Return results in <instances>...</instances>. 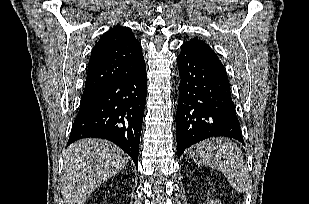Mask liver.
Returning <instances> with one entry per match:
<instances>
[{
  "instance_id": "1",
  "label": "liver",
  "mask_w": 309,
  "mask_h": 204,
  "mask_svg": "<svg viewBox=\"0 0 309 204\" xmlns=\"http://www.w3.org/2000/svg\"><path fill=\"white\" fill-rule=\"evenodd\" d=\"M127 163V155L110 141L90 138L73 143L64 155L61 177L65 204H85L95 188Z\"/></svg>"
}]
</instances>
